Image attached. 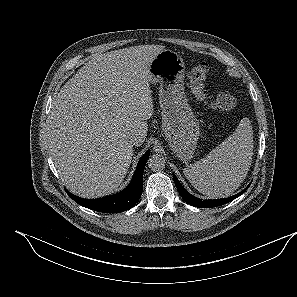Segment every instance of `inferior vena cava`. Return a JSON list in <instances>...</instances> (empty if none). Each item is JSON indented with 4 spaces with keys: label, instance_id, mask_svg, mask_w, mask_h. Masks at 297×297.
Instances as JSON below:
<instances>
[{
    "label": "inferior vena cava",
    "instance_id": "1",
    "mask_svg": "<svg viewBox=\"0 0 297 297\" xmlns=\"http://www.w3.org/2000/svg\"><path fill=\"white\" fill-rule=\"evenodd\" d=\"M139 142H140V138L138 136H136V135L132 134L128 138V143L131 146L138 145Z\"/></svg>",
    "mask_w": 297,
    "mask_h": 297
}]
</instances>
